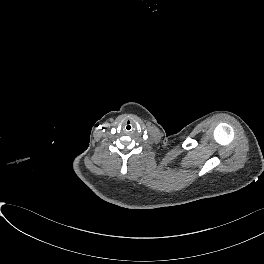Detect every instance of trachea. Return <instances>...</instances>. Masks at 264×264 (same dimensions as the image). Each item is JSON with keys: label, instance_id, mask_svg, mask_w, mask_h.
Here are the masks:
<instances>
[{"label": "trachea", "instance_id": "obj_1", "mask_svg": "<svg viewBox=\"0 0 264 264\" xmlns=\"http://www.w3.org/2000/svg\"><path fill=\"white\" fill-rule=\"evenodd\" d=\"M133 128H134L133 124H132L131 122H129V121H127V122H125V123L123 124V131H124L125 133H130V132H132V131H133Z\"/></svg>", "mask_w": 264, "mask_h": 264}]
</instances>
